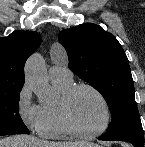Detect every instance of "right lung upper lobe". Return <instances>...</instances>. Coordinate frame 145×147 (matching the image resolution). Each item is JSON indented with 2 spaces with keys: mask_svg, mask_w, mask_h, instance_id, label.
Returning <instances> with one entry per match:
<instances>
[{
  "mask_svg": "<svg viewBox=\"0 0 145 147\" xmlns=\"http://www.w3.org/2000/svg\"><path fill=\"white\" fill-rule=\"evenodd\" d=\"M40 44V34L33 31H15L0 38V91L23 87L25 61Z\"/></svg>",
  "mask_w": 145,
  "mask_h": 147,
  "instance_id": "obj_1",
  "label": "right lung upper lobe"
}]
</instances>
